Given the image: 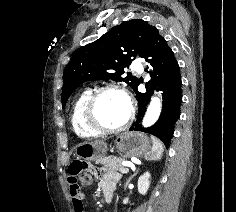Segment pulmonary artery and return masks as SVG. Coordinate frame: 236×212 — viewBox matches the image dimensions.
<instances>
[{"label": "pulmonary artery", "instance_id": "obj_1", "mask_svg": "<svg viewBox=\"0 0 236 212\" xmlns=\"http://www.w3.org/2000/svg\"><path fill=\"white\" fill-rule=\"evenodd\" d=\"M131 66H132V69L136 72H142L143 70L141 63L138 61L133 62Z\"/></svg>", "mask_w": 236, "mask_h": 212}]
</instances>
